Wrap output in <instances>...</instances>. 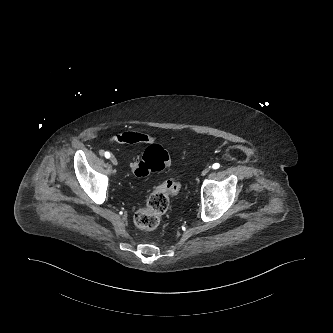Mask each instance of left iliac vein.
Listing matches in <instances>:
<instances>
[{"label":"left iliac vein","mask_w":333,"mask_h":333,"mask_svg":"<svg viewBox=\"0 0 333 333\" xmlns=\"http://www.w3.org/2000/svg\"><path fill=\"white\" fill-rule=\"evenodd\" d=\"M209 171H210V167H206V168H204L203 171L201 172V175H202V176H205V175L208 174Z\"/></svg>","instance_id":"left-iliac-vein-1"}]
</instances>
